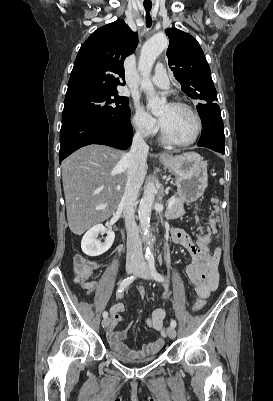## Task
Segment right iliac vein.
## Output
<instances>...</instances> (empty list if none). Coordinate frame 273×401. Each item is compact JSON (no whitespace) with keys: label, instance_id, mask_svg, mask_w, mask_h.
<instances>
[{"label":"right iliac vein","instance_id":"obj_1","mask_svg":"<svg viewBox=\"0 0 273 401\" xmlns=\"http://www.w3.org/2000/svg\"><path fill=\"white\" fill-rule=\"evenodd\" d=\"M138 269H139V264H136V263H135V264H130V265L127 266L126 272H127L128 274L136 273V272L138 271ZM110 322H111V318H110V317L104 318V319L102 320V327H103V328L108 327L109 324H110Z\"/></svg>","mask_w":273,"mask_h":401}]
</instances>
